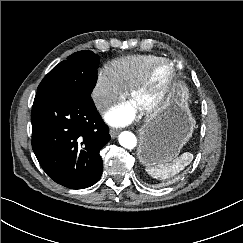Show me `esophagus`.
<instances>
[{
  "label": "esophagus",
  "mask_w": 243,
  "mask_h": 243,
  "mask_svg": "<svg viewBox=\"0 0 243 243\" xmlns=\"http://www.w3.org/2000/svg\"><path fill=\"white\" fill-rule=\"evenodd\" d=\"M118 134H119V131L117 129H111L110 130V136L112 138H116Z\"/></svg>",
  "instance_id": "esophagus-1"
}]
</instances>
